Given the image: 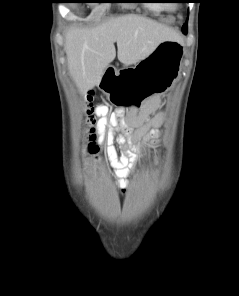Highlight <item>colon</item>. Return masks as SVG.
<instances>
[{"label":"colon","instance_id":"5ec220e1","mask_svg":"<svg viewBox=\"0 0 239 296\" xmlns=\"http://www.w3.org/2000/svg\"><path fill=\"white\" fill-rule=\"evenodd\" d=\"M91 95L87 96L86 103L83 106V110L86 113V119L84 121V137L87 142V154L91 157L87 165V169L90 172H95L98 170V159L95 154L98 151V146L96 144L97 135L95 131L96 124V107L91 102Z\"/></svg>","mask_w":239,"mask_h":296}]
</instances>
